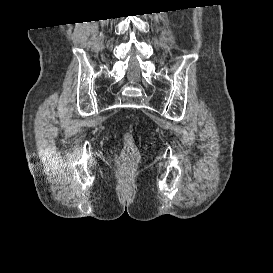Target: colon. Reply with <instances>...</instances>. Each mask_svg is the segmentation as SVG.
I'll return each mask as SVG.
<instances>
[{
  "label": "colon",
  "instance_id": "obj_1",
  "mask_svg": "<svg viewBox=\"0 0 273 273\" xmlns=\"http://www.w3.org/2000/svg\"><path fill=\"white\" fill-rule=\"evenodd\" d=\"M123 141L124 145L120 155V163L122 168L126 170L132 166L137 158L138 152L131 133L126 132L123 136Z\"/></svg>",
  "mask_w": 273,
  "mask_h": 273
}]
</instances>
